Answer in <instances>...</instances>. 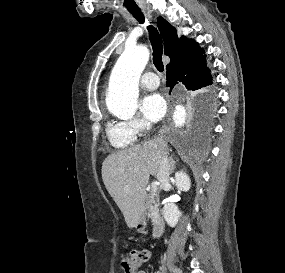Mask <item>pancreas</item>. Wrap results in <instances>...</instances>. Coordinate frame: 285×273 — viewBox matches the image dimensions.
I'll return each instance as SVG.
<instances>
[{"label": "pancreas", "instance_id": "1", "mask_svg": "<svg viewBox=\"0 0 285 273\" xmlns=\"http://www.w3.org/2000/svg\"><path fill=\"white\" fill-rule=\"evenodd\" d=\"M151 194L154 195V194H155V191H152Z\"/></svg>", "mask_w": 285, "mask_h": 273}]
</instances>
